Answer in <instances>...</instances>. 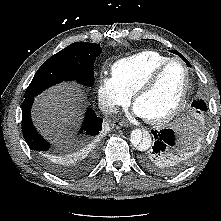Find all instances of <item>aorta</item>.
<instances>
[{
	"label": "aorta",
	"mask_w": 221,
	"mask_h": 221,
	"mask_svg": "<svg viewBox=\"0 0 221 221\" xmlns=\"http://www.w3.org/2000/svg\"><path fill=\"white\" fill-rule=\"evenodd\" d=\"M130 141L138 150L146 151L151 146L152 137L148 131L134 129L130 134Z\"/></svg>",
	"instance_id": "1"
}]
</instances>
